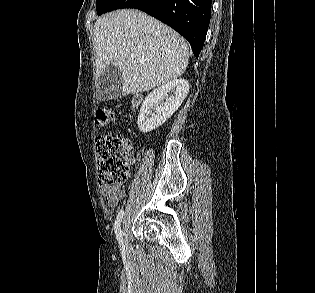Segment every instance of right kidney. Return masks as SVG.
Masks as SVG:
<instances>
[{"mask_svg":"<svg viewBox=\"0 0 315 293\" xmlns=\"http://www.w3.org/2000/svg\"><path fill=\"white\" fill-rule=\"evenodd\" d=\"M188 91L189 83L185 79H175L153 90L140 108L137 120L139 130L148 133L161 126L180 107ZM163 99H166L165 102Z\"/></svg>","mask_w":315,"mask_h":293,"instance_id":"right-kidney-1","label":"right kidney"}]
</instances>
